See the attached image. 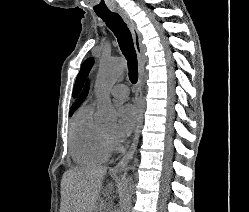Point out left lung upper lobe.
I'll return each mask as SVG.
<instances>
[{
	"label": "left lung upper lobe",
	"mask_w": 249,
	"mask_h": 212,
	"mask_svg": "<svg viewBox=\"0 0 249 212\" xmlns=\"http://www.w3.org/2000/svg\"><path fill=\"white\" fill-rule=\"evenodd\" d=\"M94 63V60L92 58H88L82 65L81 70L77 76L74 90H73V97H76L84 83V80L86 76L88 75L92 65Z\"/></svg>",
	"instance_id": "5c2ea615"
}]
</instances>
